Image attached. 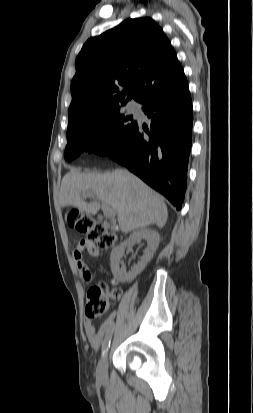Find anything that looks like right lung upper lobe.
Here are the masks:
<instances>
[{"label":"right lung upper lobe","mask_w":253,"mask_h":413,"mask_svg":"<svg viewBox=\"0 0 253 413\" xmlns=\"http://www.w3.org/2000/svg\"><path fill=\"white\" fill-rule=\"evenodd\" d=\"M69 121L93 111L180 94L188 82L170 41L151 18L128 19L87 40L75 61Z\"/></svg>","instance_id":"right-lung-upper-lobe-1"}]
</instances>
